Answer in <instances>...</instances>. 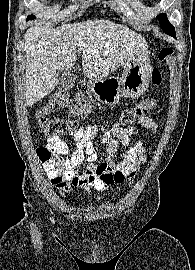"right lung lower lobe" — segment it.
<instances>
[{
    "instance_id": "obj_1",
    "label": "right lung lower lobe",
    "mask_w": 195,
    "mask_h": 270,
    "mask_svg": "<svg viewBox=\"0 0 195 270\" xmlns=\"http://www.w3.org/2000/svg\"><path fill=\"white\" fill-rule=\"evenodd\" d=\"M34 18H35V16L31 15V16H28V17H27V20H32V19H34Z\"/></svg>"
}]
</instances>
